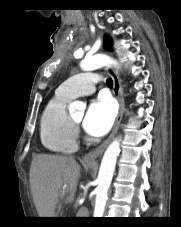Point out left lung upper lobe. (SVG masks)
Masks as SVG:
<instances>
[{"label":"left lung upper lobe","mask_w":181,"mask_h":227,"mask_svg":"<svg viewBox=\"0 0 181 227\" xmlns=\"http://www.w3.org/2000/svg\"><path fill=\"white\" fill-rule=\"evenodd\" d=\"M104 47L109 51L112 50V42L109 37L104 38Z\"/></svg>","instance_id":"5c2ea615"}]
</instances>
